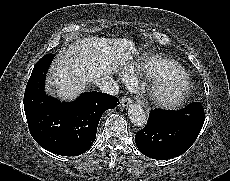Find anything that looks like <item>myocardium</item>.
Masks as SVG:
<instances>
[{"instance_id":"1","label":"myocardium","mask_w":230,"mask_h":181,"mask_svg":"<svg viewBox=\"0 0 230 181\" xmlns=\"http://www.w3.org/2000/svg\"><path fill=\"white\" fill-rule=\"evenodd\" d=\"M192 87L191 79L183 70L154 79L149 85L148 97L157 107L171 109L186 101Z\"/></svg>"}]
</instances>
